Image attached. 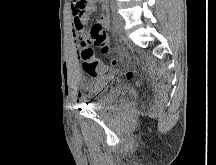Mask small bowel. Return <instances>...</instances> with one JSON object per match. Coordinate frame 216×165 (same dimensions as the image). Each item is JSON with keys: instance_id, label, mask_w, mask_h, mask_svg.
<instances>
[{"instance_id": "small-bowel-1", "label": "small bowel", "mask_w": 216, "mask_h": 165, "mask_svg": "<svg viewBox=\"0 0 216 165\" xmlns=\"http://www.w3.org/2000/svg\"><path fill=\"white\" fill-rule=\"evenodd\" d=\"M97 3H101L103 5V14L99 18V23L102 26L109 25V18L107 15V8H106V0H86V5H75V9L72 6V27H71V36L73 43L76 45L78 41H84L87 39V34L84 29L85 24L88 22L91 14L96 10ZM84 69L86 73L90 77H96L97 73L89 72L85 66Z\"/></svg>"}]
</instances>
